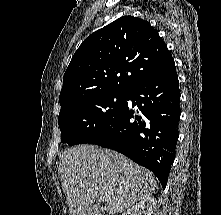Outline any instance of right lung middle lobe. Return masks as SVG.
<instances>
[{
  "instance_id": "1",
  "label": "right lung middle lobe",
  "mask_w": 221,
  "mask_h": 215,
  "mask_svg": "<svg viewBox=\"0 0 221 215\" xmlns=\"http://www.w3.org/2000/svg\"><path fill=\"white\" fill-rule=\"evenodd\" d=\"M125 105L126 93H106L65 106L58 117L61 142L89 143L103 135L119 119Z\"/></svg>"
}]
</instances>
